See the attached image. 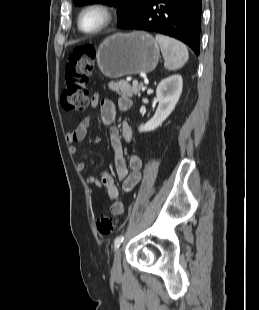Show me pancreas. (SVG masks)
I'll return each instance as SVG.
<instances>
[{
    "instance_id": "1",
    "label": "pancreas",
    "mask_w": 259,
    "mask_h": 310,
    "mask_svg": "<svg viewBox=\"0 0 259 310\" xmlns=\"http://www.w3.org/2000/svg\"><path fill=\"white\" fill-rule=\"evenodd\" d=\"M109 89L118 93L122 97H132L140 93L142 85L131 86L127 81H112L108 84Z\"/></svg>"
}]
</instances>
